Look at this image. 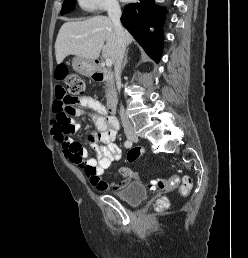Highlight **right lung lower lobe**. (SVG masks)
<instances>
[{
    "mask_svg": "<svg viewBox=\"0 0 248 258\" xmlns=\"http://www.w3.org/2000/svg\"><path fill=\"white\" fill-rule=\"evenodd\" d=\"M162 11L154 4V0H139L138 3L125 6L121 22L133 35L145 52L156 62L161 57L163 36L160 28L150 32L153 23L162 21Z\"/></svg>",
    "mask_w": 248,
    "mask_h": 258,
    "instance_id": "1",
    "label": "right lung lower lobe"
}]
</instances>
